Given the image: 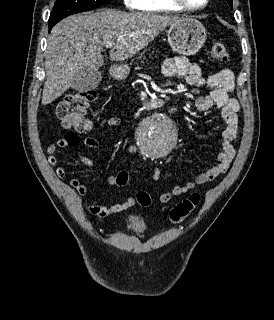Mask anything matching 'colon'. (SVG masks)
Listing matches in <instances>:
<instances>
[{
	"label": "colon",
	"instance_id": "obj_1",
	"mask_svg": "<svg viewBox=\"0 0 274 320\" xmlns=\"http://www.w3.org/2000/svg\"><path fill=\"white\" fill-rule=\"evenodd\" d=\"M211 59L217 64L228 63L231 59L228 48L220 42L214 43L211 48ZM97 93L94 90L85 89L77 90L69 93L58 105L56 115L62 123L66 131L64 138H78L80 130H77L76 120H88L85 113L89 106L96 101ZM79 141V139H78ZM127 170L119 169L118 175H115V184L120 186H128ZM137 201L142 205H150V196L145 192L137 194ZM200 197L193 194L189 198L179 202L170 212V218L174 223H178L187 218L189 214L198 206Z\"/></svg>",
	"mask_w": 274,
	"mask_h": 320
}]
</instances>
